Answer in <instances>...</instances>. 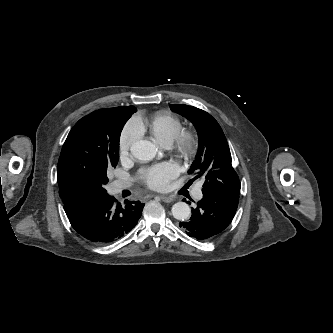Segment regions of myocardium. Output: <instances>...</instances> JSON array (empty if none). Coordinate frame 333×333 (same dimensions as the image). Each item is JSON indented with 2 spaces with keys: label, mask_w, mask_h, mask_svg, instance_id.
<instances>
[{
  "label": "myocardium",
  "mask_w": 333,
  "mask_h": 333,
  "mask_svg": "<svg viewBox=\"0 0 333 333\" xmlns=\"http://www.w3.org/2000/svg\"><path fill=\"white\" fill-rule=\"evenodd\" d=\"M176 152L185 159H192L199 149V136L194 130H182L176 137Z\"/></svg>",
  "instance_id": "f54148a6"
}]
</instances>
